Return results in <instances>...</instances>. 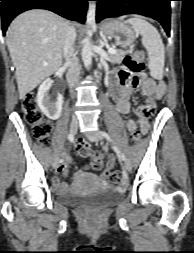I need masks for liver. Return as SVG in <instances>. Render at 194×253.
Returning a JSON list of instances; mask_svg holds the SVG:
<instances>
[{"mask_svg":"<svg viewBox=\"0 0 194 253\" xmlns=\"http://www.w3.org/2000/svg\"><path fill=\"white\" fill-rule=\"evenodd\" d=\"M63 17L42 9L17 16L6 33V43L16 68L20 99L62 65L65 31Z\"/></svg>","mask_w":194,"mask_h":253,"instance_id":"obj_1","label":"liver"}]
</instances>
